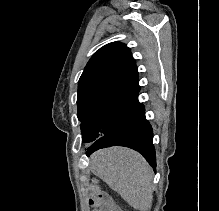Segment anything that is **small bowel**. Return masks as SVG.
Returning a JSON list of instances; mask_svg holds the SVG:
<instances>
[{"label":"small bowel","mask_w":219,"mask_h":211,"mask_svg":"<svg viewBox=\"0 0 219 211\" xmlns=\"http://www.w3.org/2000/svg\"><path fill=\"white\" fill-rule=\"evenodd\" d=\"M95 211H121V209L113 202L107 193H103L98 208Z\"/></svg>","instance_id":"obj_1"}]
</instances>
